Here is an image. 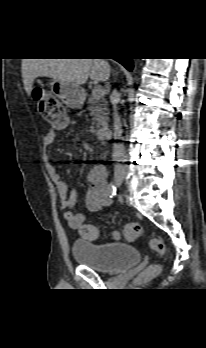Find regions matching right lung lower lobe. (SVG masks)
Here are the masks:
<instances>
[{
    "label": "right lung lower lobe",
    "mask_w": 206,
    "mask_h": 348,
    "mask_svg": "<svg viewBox=\"0 0 206 348\" xmlns=\"http://www.w3.org/2000/svg\"><path fill=\"white\" fill-rule=\"evenodd\" d=\"M119 63H121L124 67H126L129 71H132L133 69V61L131 58L129 59H115Z\"/></svg>",
    "instance_id": "1"
}]
</instances>
